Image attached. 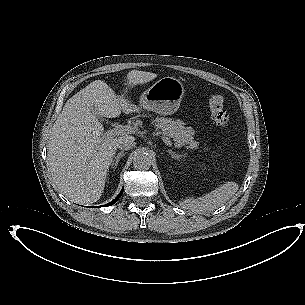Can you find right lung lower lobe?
<instances>
[{
  "label": "right lung lower lobe",
  "mask_w": 305,
  "mask_h": 305,
  "mask_svg": "<svg viewBox=\"0 0 305 305\" xmlns=\"http://www.w3.org/2000/svg\"><path fill=\"white\" fill-rule=\"evenodd\" d=\"M122 193H123V189L121 190V192L119 193V195H118L114 200H112L110 203L105 204L104 206L106 207V206H111V205H113V204L120 198V196L122 195Z\"/></svg>",
  "instance_id": "1"
}]
</instances>
